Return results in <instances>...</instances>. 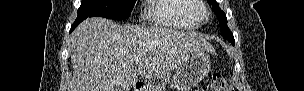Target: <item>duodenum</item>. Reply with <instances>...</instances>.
<instances>
[{
    "label": "duodenum",
    "mask_w": 304,
    "mask_h": 91,
    "mask_svg": "<svg viewBox=\"0 0 304 91\" xmlns=\"http://www.w3.org/2000/svg\"><path fill=\"white\" fill-rule=\"evenodd\" d=\"M134 91H146V85L142 82H137L134 84Z\"/></svg>",
    "instance_id": "obj_1"
}]
</instances>
